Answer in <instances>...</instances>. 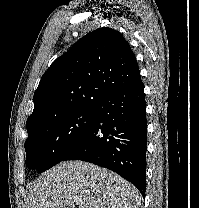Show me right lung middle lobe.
<instances>
[{
  "label": "right lung middle lobe",
  "instance_id": "1",
  "mask_svg": "<svg viewBox=\"0 0 199 208\" xmlns=\"http://www.w3.org/2000/svg\"><path fill=\"white\" fill-rule=\"evenodd\" d=\"M95 107L78 108L56 116L28 132L26 165L40 173L56 165L86 134Z\"/></svg>",
  "mask_w": 199,
  "mask_h": 208
}]
</instances>
